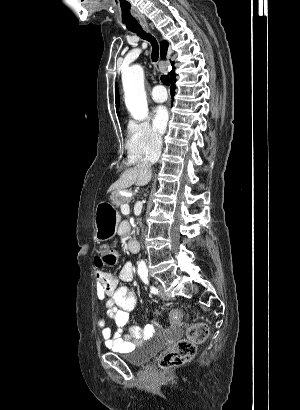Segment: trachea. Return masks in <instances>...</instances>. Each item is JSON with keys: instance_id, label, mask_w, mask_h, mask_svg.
I'll use <instances>...</instances> for the list:
<instances>
[{"instance_id": "1", "label": "trachea", "mask_w": 300, "mask_h": 410, "mask_svg": "<svg viewBox=\"0 0 300 410\" xmlns=\"http://www.w3.org/2000/svg\"><path fill=\"white\" fill-rule=\"evenodd\" d=\"M133 33H136L140 38L145 39L149 41L152 45V61L156 62L158 60V54H159V49H158V43L156 39L151 35L146 33L142 28L141 29H132L130 30ZM161 82L166 85L170 86V78L168 75H162L161 76Z\"/></svg>"}]
</instances>
